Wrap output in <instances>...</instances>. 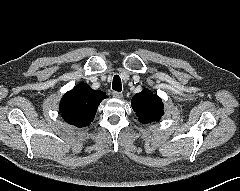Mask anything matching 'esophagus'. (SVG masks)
Here are the masks:
<instances>
[{
    "label": "esophagus",
    "mask_w": 240,
    "mask_h": 191,
    "mask_svg": "<svg viewBox=\"0 0 240 191\" xmlns=\"http://www.w3.org/2000/svg\"><path fill=\"white\" fill-rule=\"evenodd\" d=\"M112 95H113V97L116 98V99H121V98L123 97V94H122V93L116 92V91H114V92L112 93Z\"/></svg>",
    "instance_id": "1"
}]
</instances>
